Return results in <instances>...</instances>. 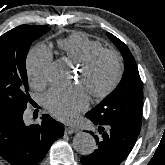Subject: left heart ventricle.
<instances>
[{"label":"left heart ventricle","mask_w":165,"mask_h":165,"mask_svg":"<svg viewBox=\"0 0 165 165\" xmlns=\"http://www.w3.org/2000/svg\"><path fill=\"white\" fill-rule=\"evenodd\" d=\"M116 72L114 60L109 56H104L98 60L92 70L88 73L84 83H82L81 73H78V82L86 90H102L107 87Z\"/></svg>","instance_id":"1"}]
</instances>
